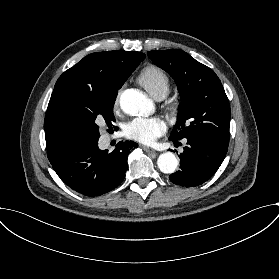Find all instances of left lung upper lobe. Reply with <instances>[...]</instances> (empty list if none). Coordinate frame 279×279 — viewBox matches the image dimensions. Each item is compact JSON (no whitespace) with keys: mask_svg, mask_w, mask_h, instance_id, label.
I'll return each instance as SVG.
<instances>
[{"mask_svg":"<svg viewBox=\"0 0 279 279\" xmlns=\"http://www.w3.org/2000/svg\"><path fill=\"white\" fill-rule=\"evenodd\" d=\"M148 56L173 77L181 96L170 137L212 135L229 140L230 105L214 71L179 49L149 51Z\"/></svg>","mask_w":279,"mask_h":279,"instance_id":"5c2ea615","label":"left lung upper lobe"}]
</instances>
